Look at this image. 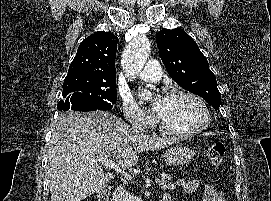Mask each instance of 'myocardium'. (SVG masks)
<instances>
[{
	"label": "myocardium",
	"instance_id": "1",
	"mask_svg": "<svg viewBox=\"0 0 271 201\" xmlns=\"http://www.w3.org/2000/svg\"><path fill=\"white\" fill-rule=\"evenodd\" d=\"M176 96H184V97H188V98L196 101L204 111L205 121L200 126L194 128L192 130L178 131V130H175V129L169 127L167 124H165L159 118L158 115H155L156 123H157L159 129L163 133L170 135V136H175V137H190V136H193L197 133L202 132L207 127H209V125L211 124V121H212L211 112H210V109H209L207 103L199 95H197L193 92L187 91V90H183V89H171L166 92V94L164 95V99H169V98H173Z\"/></svg>",
	"mask_w": 271,
	"mask_h": 201
}]
</instances>
